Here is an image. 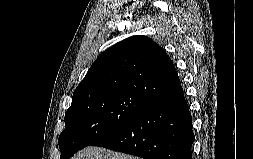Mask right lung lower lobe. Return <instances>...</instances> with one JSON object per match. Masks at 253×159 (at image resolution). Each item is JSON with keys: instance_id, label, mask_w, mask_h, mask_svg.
Masks as SVG:
<instances>
[{"instance_id": "obj_1", "label": "right lung lower lobe", "mask_w": 253, "mask_h": 159, "mask_svg": "<svg viewBox=\"0 0 253 159\" xmlns=\"http://www.w3.org/2000/svg\"><path fill=\"white\" fill-rule=\"evenodd\" d=\"M194 140L191 114L180 89L92 145L144 159H192Z\"/></svg>"}]
</instances>
